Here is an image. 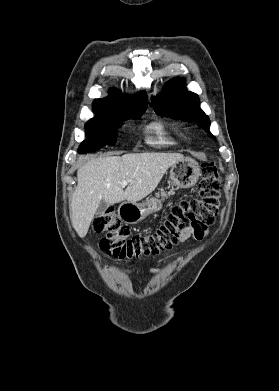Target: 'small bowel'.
Instances as JSON below:
<instances>
[{
  "mask_svg": "<svg viewBox=\"0 0 279 391\" xmlns=\"http://www.w3.org/2000/svg\"><path fill=\"white\" fill-rule=\"evenodd\" d=\"M191 236H193V229L191 227L187 226L182 231L179 240H180V242H186L187 240H189V238ZM146 272L153 274V273L157 272V270L156 269H149Z\"/></svg>",
  "mask_w": 279,
  "mask_h": 391,
  "instance_id": "small-bowel-1",
  "label": "small bowel"
}]
</instances>
